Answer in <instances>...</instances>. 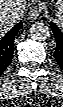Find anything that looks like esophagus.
Masks as SVG:
<instances>
[{
    "instance_id": "1",
    "label": "esophagus",
    "mask_w": 63,
    "mask_h": 107,
    "mask_svg": "<svg viewBox=\"0 0 63 107\" xmlns=\"http://www.w3.org/2000/svg\"><path fill=\"white\" fill-rule=\"evenodd\" d=\"M41 10L37 6H34L29 11V17L33 20L37 19L40 16Z\"/></svg>"
}]
</instances>
